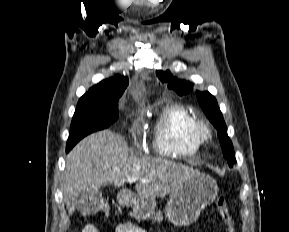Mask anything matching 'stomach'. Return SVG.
<instances>
[{
	"mask_svg": "<svg viewBox=\"0 0 289 232\" xmlns=\"http://www.w3.org/2000/svg\"><path fill=\"white\" fill-rule=\"evenodd\" d=\"M218 187L209 175L194 171L182 185L171 193L165 208V217L176 226H188L196 221L200 212L216 198ZM120 204L130 206L138 221H162L163 215L155 211L156 201L150 197L134 195L129 191L118 194Z\"/></svg>",
	"mask_w": 289,
	"mask_h": 232,
	"instance_id": "stomach-1",
	"label": "stomach"
}]
</instances>
